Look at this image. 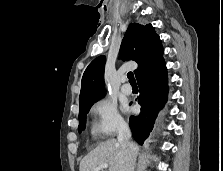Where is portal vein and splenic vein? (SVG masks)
Wrapping results in <instances>:
<instances>
[{
    "label": "portal vein and splenic vein",
    "mask_w": 223,
    "mask_h": 171,
    "mask_svg": "<svg viewBox=\"0 0 223 171\" xmlns=\"http://www.w3.org/2000/svg\"><path fill=\"white\" fill-rule=\"evenodd\" d=\"M106 168H108V164L104 163L98 166L97 168H95L94 171H99L101 169H106Z\"/></svg>",
    "instance_id": "obj_1"
}]
</instances>
